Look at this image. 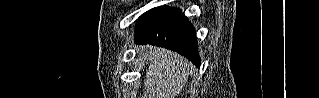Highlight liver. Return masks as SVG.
Instances as JSON below:
<instances>
[{"mask_svg":"<svg viewBox=\"0 0 319 98\" xmlns=\"http://www.w3.org/2000/svg\"><path fill=\"white\" fill-rule=\"evenodd\" d=\"M149 60L142 98H175L186 86L190 62L178 53L164 48L146 47Z\"/></svg>","mask_w":319,"mask_h":98,"instance_id":"obj_1","label":"liver"}]
</instances>
